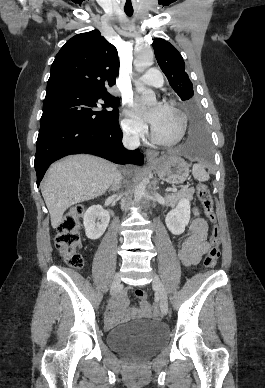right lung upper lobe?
Here are the masks:
<instances>
[{"mask_svg": "<svg viewBox=\"0 0 265 388\" xmlns=\"http://www.w3.org/2000/svg\"><path fill=\"white\" fill-rule=\"evenodd\" d=\"M119 66L117 49L98 30L78 34L56 55L46 96L106 90V86L115 84Z\"/></svg>", "mask_w": 265, "mask_h": 388, "instance_id": "1", "label": "right lung upper lobe"}]
</instances>
